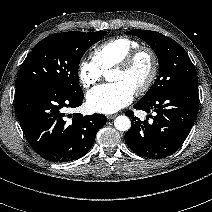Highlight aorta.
<instances>
[{
    "instance_id": "obj_1",
    "label": "aorta",
    "mask_w": 212,
    "mask_h": 212,
    "mask_svg": "<svg viewBox=\"0 0 212 212\" xmlns=\"http://www.w3.org/2000/svg\"><path fill=\"white\" fill-rule=\"evenodd\" d=\"M114 126L119 131H128L131 127V121L127 116L120 115L114 120Z\"/></svg>"
}]
</instances>
